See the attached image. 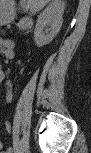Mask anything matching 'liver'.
Segmentation results:
<instances>
[{"label":"liver","instance_id":"6515ba94","mask_svg":"<svg viewBox=\"0 0 91 153\" xmlns=\"http://www.w3.org/2000/svg\"><path fill=\"white\" fill-rule=\"evenodd\" d=\"M49 0H23L22 4L30 7L32 13H36L40 9H42Z\"/></svg>","mask_w":91,"mask_h":153}]
</instances>
